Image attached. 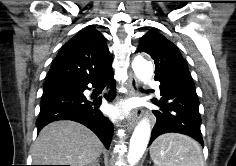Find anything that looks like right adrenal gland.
Here are the masks:
<instances>
[{
	"label": "right adrenal gland",
	"mask_w": 236,
	"mask_h": 166,
	"mask_svg": "<svg viewBox=\"0 0 236 166\" xmlns=\"http://www.w3.org/2000/svg\"><path fill=\"white\" fill-rule=\"evenodd\" d=\"M91 166H100L99 164V160H96L94 164H92Z\"/></svg>",
	"instance_id": "2a0ac1e0"
}]
</instances>
